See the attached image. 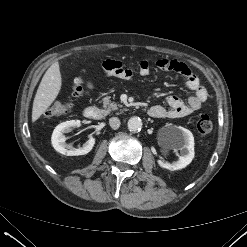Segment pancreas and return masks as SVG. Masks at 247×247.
Masks as SVG:
<instances>
[{
  "label": "pancreas",
  "mask_w": 247,
  "mask_h": 247,
  "mask_svg": "<svg viewBox=\"0 0 247 247\" xmlns=\"http://www.w3.org/2000/svg\"><path fill=\"white\" fill-rule=\"evenodd\" d=\"M103 107L105 108L106 113H110L111 111L117 110L119 107H123V105L111 102L110 97L107 96L103 99Z\"/></svg>",
  "instance_id": "1"
}]
</instances>
